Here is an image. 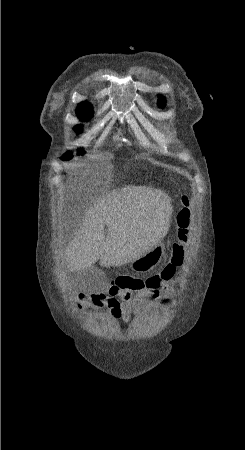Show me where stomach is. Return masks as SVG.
Returning <instances> with one entry per match:
<instances>
[{"instance_id": "0dacf381", "label": "stomach", "mask_w": 245, "mask_h": 450, "mask_svg": "<svg viewBox=\"0 0 245 450\" xmlns=\"http://www.w3.org/2000/svg\"><path fill=\"white\" fill-rule=\"evenodd\" d=\"M165 254V245L160 240L157 245L145 252L142 256L131 261L130 267L137 272H148L156 267Z\"/></svg>"}]
</instances>
